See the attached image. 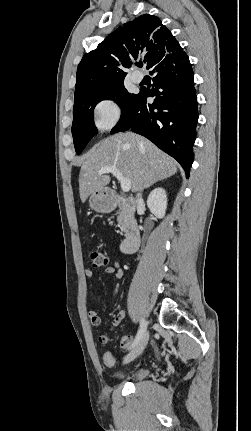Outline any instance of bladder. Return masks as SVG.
<instances>
[{
    "label": "bladder",
    "instance_id": "31cf9c89",
    "mask_svg": "<svg viewBox=\"0 0 251 431\" xmlns=\"http://www.w3.org/2000/svg\"><path fill=\"white\" fill-rule=\"evenodd\" d=\"M150 370L147 367H138L126 374L120 373L117 374L116 377L119 379H130V380H139L148 376Z\"/></svg>",
    "mask_w": 251,
    "mask_h": 431
}]
</instances>
